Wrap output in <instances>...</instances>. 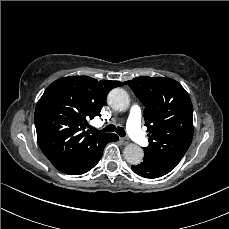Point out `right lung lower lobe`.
<instances>
[{
    "mask_svg": "<svg viewBox=\"0 0 229 229\" xmlns=\"http://www.w3.org/2000/svg\"><path fill=\"white\" fill-rule=\"evenodd\" d=\"M117 140L118 136L116 134H107L81 163L66 172V174L79 175L88 172L99 162L106 144Z\"/></svg>",
    "mask_w": 229,
    "mask_h": 229,
    "instance_id": "98d812e1",
    "label": "right lung lower lobe"
}]
</instances>
